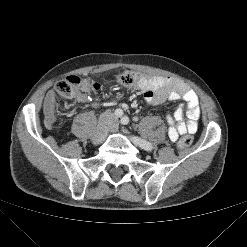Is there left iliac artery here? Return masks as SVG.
Instances as JSON below:
<instances>
[{
	"instance_id": "left-iliac-artery-1",
	"label": "left iliac artery",
	"mask_w": 247,
	"mask_h": 247,
	"mask_svg": "<svg viewBox=\"0 0 247 247\" xmlns=\"http://www.w3.org/2000/svg\"><path fill=\"white\" fill-rule=\"evenodd\" d=\"M120 122H121L122 125H127L129 123V118L127 116H123L121 118V121ZM134 138L137 140L138 145L142 149H144V150H152L153 146H152L151 143H149L148 141L143 140V139H141V138H139L137 136H134Z\"/></svg>"
}]
</instances>
